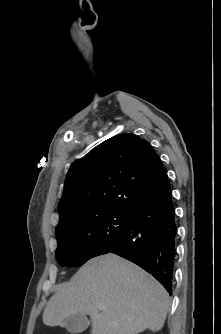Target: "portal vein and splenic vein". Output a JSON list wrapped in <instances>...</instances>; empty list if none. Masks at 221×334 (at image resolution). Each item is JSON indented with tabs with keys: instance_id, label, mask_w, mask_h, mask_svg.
<instances>
[{
	"instance_id": "portal-vein-and-splenic-vein-1",
	"label": "portal vein and splenic vein",
	"mask_w": 221,
	"mask_h": 334,
	"mask_svg": "<svg viewBox=\"0 0 221 334\" xmlns=\"http://www.w3.org/2000/svg\"><path fill=\"white\" fill-rule=\"evenodd\" d=\"M100 309H101V310H103V309H104V307H101Z\"/></svg>"
}]
</instances>
